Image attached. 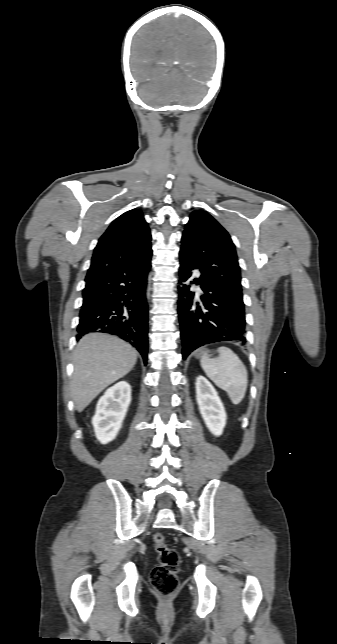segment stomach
Wrapping results in <instances>:
<instances>
[{"label":"stomach","mask_w":337,"mask_h":644,"mask_svg":"<svg viewBox=\"0 0 337 644\" xmlns=\"http://www.w3.org/2000/svg\"><path fill=\"white\" fill-rule=\"evenodd\" d=\"M205 353H207V351L199 352V353H197L195 356H196V357H201V356H203Z\"/></svg>","instance_id":"obj_1"}]
</instances>
